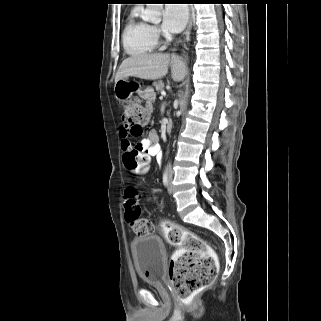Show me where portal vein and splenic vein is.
Instances as JSON below:
<instances>
[{"label":"portal vein and splenic vein","instance_id":"1","mask_svg":"<svg viewBox=\"0 0 321 321\" xmlns=\"http://www.w3.org/2000/svg\"><path fill=\"white\" fill-rule=\"evenodd\" d=\"M161 95H162V97L165 96V95H166V92H165V91H162V92H161Z\"/></svg>","mask_w":321,"mask_h":321}]
</instances>
